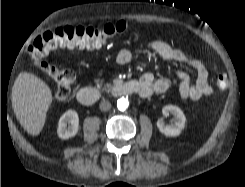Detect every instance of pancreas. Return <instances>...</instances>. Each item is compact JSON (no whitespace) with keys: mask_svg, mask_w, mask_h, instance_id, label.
<instances>
[{"mask_svg":"<svg viewBox=\"0 0 245 187\" xmlns=\"http://www.w3.org/2000/svg\"><path fill=\"white\" fill-rule=\"evenodd\" d=\"M102 83H103V81H100L99 83H98V85L101 87L102 86ZM111 87V84H109V83H107L105 86H103V89H109Z\"/></svg>","mask_w":245,"mask_h":187,"instance_id":"1","label":"pancreas"}]
</instances>
